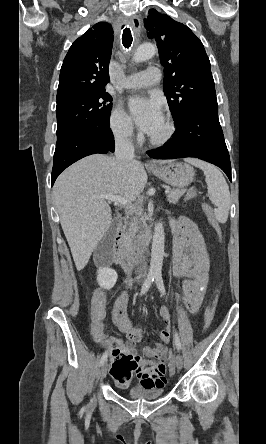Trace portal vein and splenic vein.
<instances>
[{"mask_svg":"<svg viewBox=\"0 0 266 444\" xmlns=\"http://www.w3.org/2000/svg\"><path fill=\"white\" fill-rule=\"evenodd\" d=\"M169 193H170L169 190L165 191L166 195H168ZM97 198L105 199L108 202H114L116 204L119 203L121 205H126V206H128L130 208L133 207L131 201H129L128 199H126V198H124V197H122L120 195H105V196L101 195V196H98Z\"/></svg>","mask_w":266,"mask_h":444,"instance_id":"portal-vein-and-splenic-vein-1","label":"portal vein and splenic vein"}]
</instances>
